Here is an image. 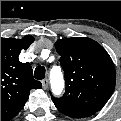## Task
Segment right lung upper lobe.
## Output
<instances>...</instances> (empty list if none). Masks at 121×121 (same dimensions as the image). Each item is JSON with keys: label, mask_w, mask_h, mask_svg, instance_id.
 Instances as JSON below:
<instances>
[{"label": "right lung upper lobe", "mask_w": 121, "mask_h": 121, "mask_svg": "<svg viewBox=\"0 0 121 121\" xmlns=\"http://www.w3.org/2000/svg\"><path fill=\"white\" fill-rule=\"evenodd\" d=\"M34 38H1V121L15 117L25 105L31 89L42 84L34 80L31 65L23 64L18 56L27 49Z\"/></svg>", "instance_id": "obj_1"}]
</instances>
